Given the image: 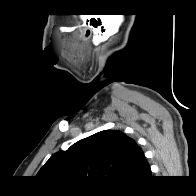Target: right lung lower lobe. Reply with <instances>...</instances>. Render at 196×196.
<instances>
[{
  "instance_id": "obj_1",
  "label": "right lung lower lobe",
  "mask_w": 196,
  "mask_h": 196,
  "mask_svg": "<svg viewBox=\"0 0 196 196\" xmlns=\"http://www.w3.org/2000/svg\"><path fill=\"white\" fill-rule=\"evenodd\" d=\"M149 177H150V176H148L147 178H149ZM143 182H144V180H143L141 183H139V184L129 185L128 187L139 186V185H141Z\"/></svg>"
}]
</instances>
